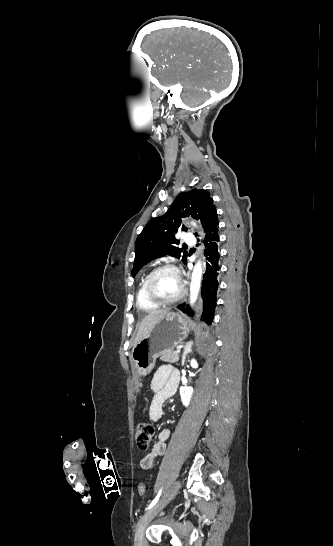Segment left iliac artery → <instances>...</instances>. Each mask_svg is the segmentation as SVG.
I'll return each mask as SVG.
<instances>
[{
  "instance_id": "1",
  "label": "left iliac artery",
  "mask_w": 333,
  "mask_h": 546,
  "mask_svg": "<svg viewBox=\"0 0 333 546\" xmlns=\"http://www.w3.org/2000/svg\"><path fill=\"white\" fill-rule=\"evenodd\" d=\"M161 491H162V489L159 490L157 496L152 500V502H151V503L149 504V506L146 508V511L149 510V509H151V508L158 502L159 497H160V495H161Z\"/></svg>"
}]
</instances>
